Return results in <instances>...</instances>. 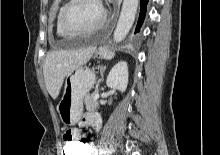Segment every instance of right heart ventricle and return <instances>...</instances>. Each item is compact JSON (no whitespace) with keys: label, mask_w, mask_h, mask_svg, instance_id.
<instances>
[{"label":"right heart ventricle","mask_w":220,"mask_h":155,"mask_svg":"<svg viewBox=\"0 0 220 155\" xmlns=\"http://www.w3.org/2000/svg\"><path fill=\"white\" fill-rule=\"evenodd\" d=\"M60 9H61V7H60ZM60 9H59L57 16H56V19H55L56 34L60 37H71L72 35L65 33L59 26L58 17H59Z\"/></svg>","instance_id":"right-heart-ventricle-1"}]
</instances>
